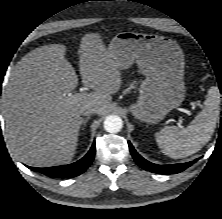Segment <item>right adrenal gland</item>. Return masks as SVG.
Returning a JSON list of instances; mask_svg holds the SVG:
<instances>
[{"label":"right adrenal gland","mask_w":222,"mask_h":219,"mask_svg":"<svg viewBox=\"0 0 222 219\" xmlns=\"http://www.w3.org/2000/svg\"><path fill=\"white\" fill-rule=\"evenodd\" d=\"M89 119H90L89 116L84 119V121H83V126H82V128H81L82 130L86 127V124H87V122H88Z\"/></svg>","instance_id":"1"}]
</instances>
